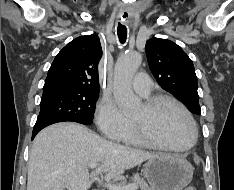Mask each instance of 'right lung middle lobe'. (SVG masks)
Returning a JSON list of instances; mask_svg holds the SVG:
<instances>
[{
  "instance_id": "right-lung-middle-lobe-1",
  "label": "right lung middle lobe",
  "mask_w": 234,
  "mask_h": 190,
  "mask_svg": "<svg viewBox=\"0 0 234 190\" xmlns=\"http://www.w3.org/2000/svg\"><path fill=\"white\" fill-rule=\"evenodd\" d=\"M99 91L43 87L40 113L33 130L63 121L90 125Z\"/></svg>"
}]
</instances>
